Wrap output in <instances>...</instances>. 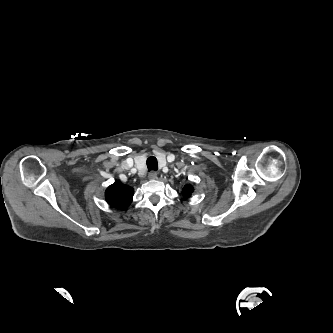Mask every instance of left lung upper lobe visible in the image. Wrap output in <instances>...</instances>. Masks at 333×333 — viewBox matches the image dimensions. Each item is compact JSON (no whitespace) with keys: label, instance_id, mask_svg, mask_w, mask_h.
Instances as JSON below:
<instances>
[{"label":"left lung upper lobe","instance_id":"1","mask_svg":"<svg viewBox=\"0 0 333 333\" xmlns=\"http://www.w3.org/2000/svg\"><path fill=\"white\" fill-rule=\"evenodd\" d=\"M193 191H194V189L191 185H185L182 190V193H183L184 197H189V196H191Z\"/></svg>","mask_w":333,"mask_h":333}]
</instances>
